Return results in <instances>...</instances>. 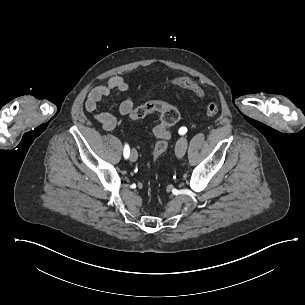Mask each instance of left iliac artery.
I'll return each mask as SVG.
<instances>
[{
    "mask_svg": "<svg viewBox=\"0 0 305 305\" xmlns=\"http://www.w3.org/2000/svg\"><path fill=\"white\" fill-rule=\"evenodd\" d=\"M187 132V128L186 127H181L180 129H179V133L180 134H185Z\"/></svg>",
    "mask_w": 305,
    "mask_h": 305,
    "instance_id": "obj_1",
    "label": "left iliac artery"
}]
</instances>
